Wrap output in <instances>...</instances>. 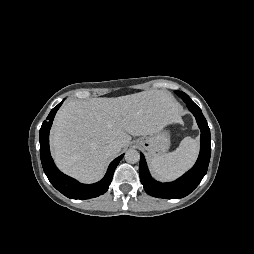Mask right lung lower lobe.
<instances>
[{"mask_svg":"<svg viewBox=\"0 0 254 254\" xmlns=\"http://www.w3.org/2000/svg\"><path fill=\"white\" fill-rule=\"evenodd\" d=\"M63 102L59 103L49 113L40 129V158L43 170L51 184L66 197L71 199H90L104 194L113 177V173L124 154L116 158L108 167L104 178L94 184H82L63 174L55 166L49 150V130L54 116Z\"/></svg>","mask_w":254,"mask_h":254,"instance_id":"98d812e1","label":"right lung lower lobe"}]
</instances>
